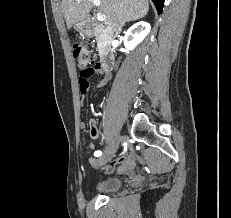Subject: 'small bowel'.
I'll use <instances>...</instances> for the list:
<instances>
[{"instance_id": "1", "label": "small bowel", "mask_w": 231, "mask_h": 218, "mask_svg": "<svg viewBox=\"0 0 231 218\" xmlns=\"http://www.w3.org/2000/svg\"><path fill=\"white\" fill-rule=\"evenodd\" d=\"M99 67H100V64L95 63L94 66H88L87 69H79L80 88H81V91L83 93H85L89 88V78L95 72L100 71ZM107 81H108V76H105L104 78H102L99 81L98 86L105 85L107 83ZM80 127L84 128L85 124L81 123ZM89 132H90V136L92 139H94V140L98 139L99 130H98V127H97L95 122H92L90 124ZM90 147L93 149L94 144H91ZM89 163L93 167L100 166L98 160L93 159V158H89ZM101 166H103L104 170L107 173H113V172H116L118 174L129 173V172H132L134 170L135 156L132 153H127V154H124V155L120 156L119 158H117V159H115L109 163H105Z\"/></svg>"}]
</instances>
